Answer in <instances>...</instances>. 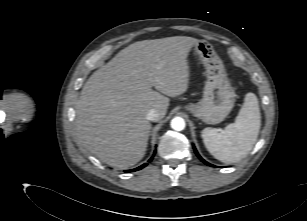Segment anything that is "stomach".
I'll list each match as a JSON object with an SVG mask.
<instances>
[{"instance_id":"0dacf381","label":"stomach","mask_w":307,"mask_h":221,"mask_svg":"<svg viewBox=\"0 0 307 221\" xmlns=\"http://www.w3.org/2000/svg\"><path fill=\"white\" fill-rule=\"evenodd\" d=\"M195 52L206 69V82L202 99L185 107L194 117L206 124H218L231 112L236 94L230 85L224 65L206 40H198Z\"/></svg>"}]
</instances>
